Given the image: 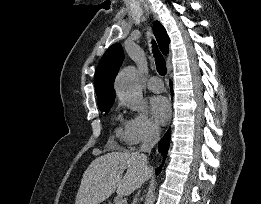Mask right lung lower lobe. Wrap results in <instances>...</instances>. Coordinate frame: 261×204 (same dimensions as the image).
<instances>
[{"instance_id": "1", "label": "right lung lower lobe", "mask_w": 261, "mask_h": 204, "mask_svg": "<svg viewBox=\"0 0 261 204\" xmlns=\"http://www.w3.org/2000/svg\"><path fill=\"white\" fill-rule=\"evenodd\" d=\"M171 90H172V86H171ZM170 136H171V131L169 129L167 131V133L164 135V137L161 139V141L159 142V145H158V150H159V152H161L164 155V160L166 158V155H167V152L169 149ZM161 168H162V166L157 168V170H156L157 174H159Z\"/></svg>"}]
</instances>
